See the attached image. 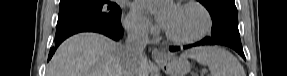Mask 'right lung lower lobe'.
Masks as SVG:
<instances>
[{
	"label": "right lung lower lobe",
	"instance_id": "98d812e1",
	"mask_svg": "<svg viewBox=\"0 0 287 76\" xmlns=\"http://www.w3.org/2000/svg\"><path fill=\"white\" fill-rule=\"evenodd\" d=\"M85 31H91V32H98L102 33L112 39L118 40L123 35V29L120 23L113 24V25H89V26H82L79 28L72 29L70 31H67L63 34L56 35L55 43L56 47L59 46V44L68 38L69 36L76 34L78 32H85ZM56 48H52L50 50L48 61L51 59L55 52Z\"/></svg>",
	"mask_w": 287,
	"mask_h": 76
}]
</instances>
